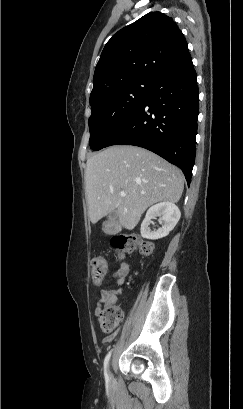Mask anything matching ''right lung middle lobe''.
Returning <instances> with one entry per match:
<instances>
[{
	"mask_svg": "<svg viewBox=\"0 0 243 409\" xmlns=\"http://www.w3.org/2000/svg\"><path fill=\"white\" fill-rule=\"evenodd\" d=\"M153 83L134 81L123 84L91 103L90 147L100 150L140 107Z\"/></svg>",
	"mask_w": 243,
	"mask_h": 409,
	"instance_id": "1",
	"label": "right lung middle lobe"
}]
</instances>
